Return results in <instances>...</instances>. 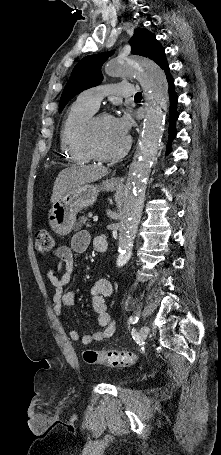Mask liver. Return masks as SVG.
I'll list each match as a JSON object with an SVG mask.
<instances>
[{
  "instance_id": "obj_1",
  "label": "liver",
  "mask_w": 221,
  "mask_h": 455,
  "mask_svg": "<svg viewBox=\"0 0 221 455\" xmlns=\"http://www.w3.org/2000/svg\"><path fill=\"white\" fill-rule=\"evenodd\" d=\"M107 173V169L102 165H73L63 169L55 180L50 202L54 203L67 191L79 185L95 182Z\"/></svg>"
}]
</instances>
